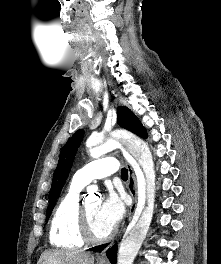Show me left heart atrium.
I'll return each instance as SVG.
<instances>
[{
  "instance_id": "39dd6f15",
  "label": "left heart atrium",
  "mask_w": 221,
  "mask_h": 264,
  "mask_svg": "<svg viewBox=\"0 0 221 264\" xmlns=\"http://www.w3.org/2000/svg\"><path fill=\"white\" fill-rule=\"evenodd\" d=\"M124 212L125 207L123 201L116 193H110L100 202V216L110 228H113L122 219Z\"/></svg>"
}]
</instances>
